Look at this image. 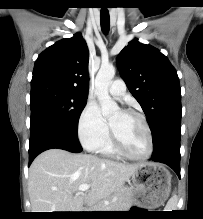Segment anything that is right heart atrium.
I'll use <instances>...</instances> for the list:
<instances>
[{
	"label": "right heart atrium",
	"instance_id": "1",
	"mask_svg": "<svg viewBox=\"0 0 203 219\" xmlns=\"http://www.w3.org/2000/svg\"><path fill=\"white\" fill-rule=\"evenodd\" d=\"M109 125L102 116L99 107L88 102L78 120V136L87 150H99L109 137Z\"/></svg>",
	"mask_w": 203,
	"mask_h": 219
}]
</instances>
